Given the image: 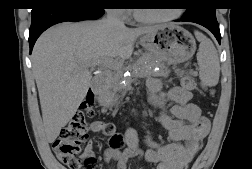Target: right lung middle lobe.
<instances>
[{
  "mask_svg": "<svg viewBox=\"0 0 252 169\" xmlns=\"http://www.w3.org/2000/svg\"><path fill=\"white\" fill-rule=\"evenodd\" d=\"M80 1L87 4L102 6L105 0H80ZM43 3H45V0H37L36 4L41 5Z\"/></svg>",
  "mask_w": 252,
  "mask_h": 169,
  "instance_id": "1",
  "label": "right lung middle lobe"
}]
</instances>
